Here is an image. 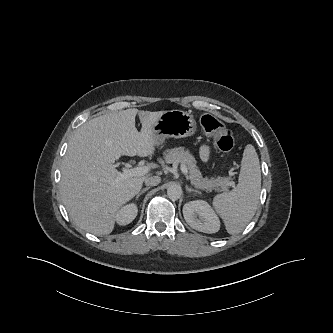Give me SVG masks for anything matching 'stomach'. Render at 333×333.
Returning a JSON list of instances; mask_svg holds the SVG:
<instances>
[{
	"mask_svg": "<svg viewBox=\"0 0 333 333\" xmlns=\"http://www.w3.org/2000/svg\"><path fill=\"white\" fill-rule=\"evenodd\" d=\"M196 121L190 113L182 110L165 111L152 126L156 145L166 138H184L195 134Z\"/></svg>",
	"mask_w": 333,
	"mask_h": 333,
	"instance_id": "1",
	"label": "stomach"
}]
</instances>
